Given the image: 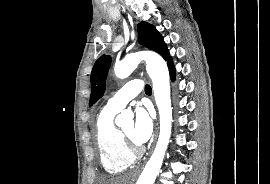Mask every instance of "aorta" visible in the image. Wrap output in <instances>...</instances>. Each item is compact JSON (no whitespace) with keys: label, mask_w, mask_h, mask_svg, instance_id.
<instances>
[{"label":"aorta","mask_w":270,"mask_h":184,"mask_svg":"<svg viewBox=\"0 0 270 184\" xmlns=\"http://www.w3.org/2000/svg\"><path fill=\"white\" fill-rule=\"evenodd\" d=\"M142 60H145L147 73L153 82L155 101L160 116V133L155 150L146 163L137 184H154L162 167L172 128V107L167 64L160 55L154 52L132 53L115 64L114 72L118 78H127ZM132 118L133 113L131 111H122L116 118V124L123 125L125 121Z\"/></svg>","instance_id":"aorta-1"}]
</instances>
